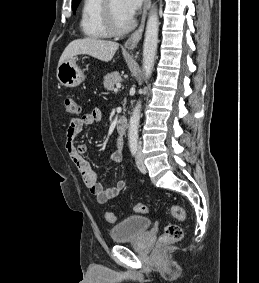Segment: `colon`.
<instances>
[{"instance_id": "obj_1", "label": "colon", "mask_w": 259, "mask_h": 283, "mask_svg": "<svg viewBox=\"0 0 259 283\" xmlns=\"http://www.w3.org/2000/svg\"><path fill=\"white\" fill-rule=\"evenodd\" d=\"M66 111L71 116H77L81 112L80 105L78 102L72 98H67L65 100ZM134 210L137 213H147L148 206L143 203H138L135 205ZM172 216L177 222H183L186 219V212L183 207L178 204H173L170 207ZM106 221L108 223H114L116 217L114 213L107 212L105 214ZM183 237V229L178 223H171L166 226L164 233L159 237V243L162 245L171 244L178 242Z\"/></svg>"}]
</instances>
